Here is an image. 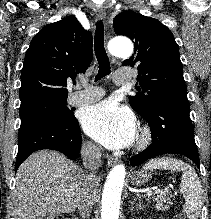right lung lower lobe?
<instances>
[{
	"label": "right lung lower lobe",
	"instance_id": "obj_1",
	"mask_svg": "<svg viewBox=\"0 0 211 219\" xmlns=\"http://www.w3.org/2000/svg\"><path fill=\"white\" fill-rule=\"evenodd\" d=\"M81 144L80 127L75 117L68 121L43 117L22 124L15 171L31 153L42 149L56 150L75 160L79 157Z\"/></svg>",
	"mask_w": 211,
	"mask_h": 219
}]
</instances>
